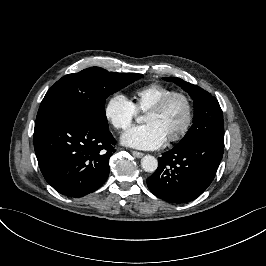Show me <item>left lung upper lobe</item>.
<instances>
[{"instance_id": "left-lung-upper-lobe-1", "label": "left lung upper lobe", "mask_w": 266, "mask_h": 266, "mask_svg": "<svg viewBox=\"0 0 266 266\" xmlns=\"http://www.w3.org/2000/svg\"><path fill=\"white\" fill-rule=\"evenodd\" d=\"M163 79L182 87L194 100L195 118L193 125L175 147H183L204 138L224 140L222 110L216 98L197 85L185 82L180 78L167 77Z\"/></svg>"}]
</instances>
